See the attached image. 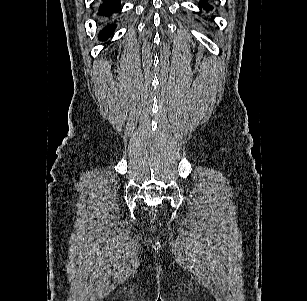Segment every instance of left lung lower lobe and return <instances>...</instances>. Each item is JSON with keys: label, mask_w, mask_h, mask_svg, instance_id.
Listing matches in <instances>:
<instances>
[{"label": "left lung lower lobe", "mask_w": 307, "mask_h": 301, "mask_svg": "<svg viewBox=\"0 0 307 301\" xmlns=\"http://www.w3.org/2000/svg\"><path fill=\"white\" fill-rule=\"evenodd\" d=\"M200 7H202L203 9H206V10H212L213 9V6L207 4L206 0L201 1Z\"/></svg>", "instance_id": "left-lung-lower-lobe-1"}]
</instances>
